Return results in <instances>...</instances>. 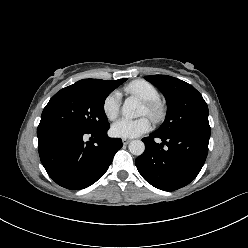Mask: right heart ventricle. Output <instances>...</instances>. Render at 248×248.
<instances>
[{"mask_svg":"<svg viewBox=\"0 0 248 248\" xmlns=\"http://www.w3.org/2000/svg\"><path fill=\"white\" fill-rule=\"evenodd\" d=\"M124 91L138 97L143 102L156 101L160 99L157 88L150 82L142 79L134 80L124 87Z\"/></svg>","mask_w":248,"mask_h":248,"instance_id":"obj_1","label":"right heart ventricle"}]
</instances>
